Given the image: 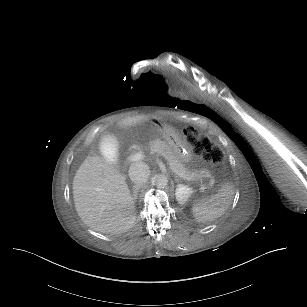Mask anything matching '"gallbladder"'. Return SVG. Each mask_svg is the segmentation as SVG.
Segmentation results:
<instances>
[{"mask_svg": "<svg viewBox=\"0 0 307 307\" xmlns=\"http://www.w3.org/2000/svg\"><path fill=\"white\" fill-rule=\"evenodd\" d=\"M102 154L109 162H114L120 156L119 139L115 136H106L101 141Z\"/></svg>", "mask_w": 307, "mask_h": 307, "instance_id": "gallbladder-1", "label": "gallbladder"}]
</instances>
